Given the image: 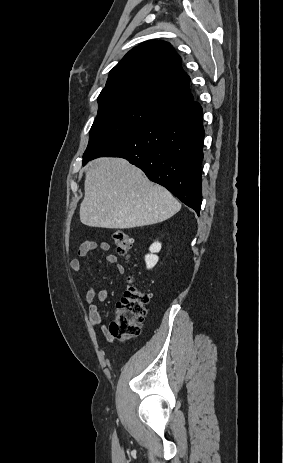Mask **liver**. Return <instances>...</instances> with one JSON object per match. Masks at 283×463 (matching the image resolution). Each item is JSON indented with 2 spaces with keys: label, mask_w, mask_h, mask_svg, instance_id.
Returning a JSON list of instances; mask_svg holds the SVG:
<instances>
[{
  "label": "liver",
  "mask_w": 283,
  "mask_h": 463,
  "mask_svg": "<svg viewBox=\"0 0 283 463\" xmlns=\"http://www.w3.org/2000/svg\"><path fill=\"white\" fill-rule=\"evenodd\" d=\"M80 221L90 227L127 229L163 222L181 209L164 187L120 158H99L85 169Z\"/></svg>",
  "instance_id": "liver-1"
}]
</instances>
